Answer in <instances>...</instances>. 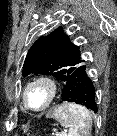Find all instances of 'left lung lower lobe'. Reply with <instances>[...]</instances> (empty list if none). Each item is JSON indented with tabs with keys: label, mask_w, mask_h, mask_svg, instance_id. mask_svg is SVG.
Masks as SVG:
<instances>
[{
	"label": "left lung lower lobe",
	"mask_w": 117,
	"mask_h": 136,
	"mask_svg": "<svg viewBox=\"0 0 117 136\" xmlns=\"http://www.w3.org/2000/svg\"><path fill=\"white\" fill-rule=\"evenodd\" d=\"M82 63L76 67L65 82L62 100L83 105L97 113L95 86L86 65Z\"/></svg>",
	"instance_id": "1"
}]
</instances>
